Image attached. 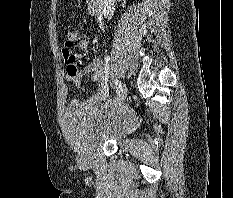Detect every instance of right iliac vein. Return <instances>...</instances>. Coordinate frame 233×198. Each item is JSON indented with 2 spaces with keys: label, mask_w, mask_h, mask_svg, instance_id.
<instances>
[{
  "label": "right iliac vein",
  "mask_w": 233,
  "mask_h": 198,
  "mask_svg": "<svg viewBox=\"0 0 233 198\" xmlns=\"http://www.w3.org/2000/svg\"><path fill=\"white\" fill-rule=\"evenodd\" d=\"M126 94H127V89H126L125 85H123V87L120 90V93L118 94L117 98L114 100L112 105L114 107L120 106L121 103L124 101Z\"/></svg>",
  "instance_id": "1"
}]
</instances>
